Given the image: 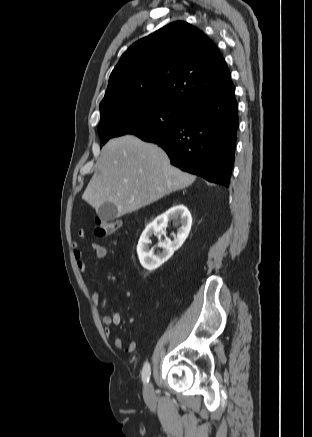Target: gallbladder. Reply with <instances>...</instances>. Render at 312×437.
Instances as JSON below:
<instances>
[{
  "label": "gallbladder",
  "mask_w": 312,
  "mask_h": 437,
  "mask_svg": "<svg viewBox=\"0 0 312 437\" xmlns=\"http://www.w3.org/2000/svg\"><path fill=\"white\" fill-rule=\"evenodd\" d=\"M97 215L103 221H113L118 217V210L113 203L105 202L98 208Z\"/></svg>",
  "instance_id": "bac80fb5"
}]
</instances>
